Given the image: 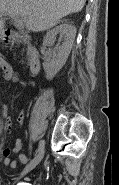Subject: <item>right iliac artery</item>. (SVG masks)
Here are the masks:
<instances>
[{
    "instance_id": "82829eb1",
    "label": "right iliac artery",
    "mask_w": 119,
    "mask_h": 185,
    "mask_svg": "<svg viewBox=\"0 0 119 185\" xmlns=\"http://www.w3.org/2000/svg\"><path fill=\"white\" fill-rule=\"evenodd\" d=\"M43 142H44V141H40V142H39L38 151L42 148V146H43Z\"/></svg>"
}]
</instances>
